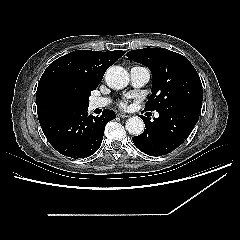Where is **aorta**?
<instances>
[{
  "mask_svg": "<svg viewBox=\"0 0 240 240\" xmlns=\"http://www.w3.org/2000/svg\"><path fill=\"white\" fill-rule=\"evenodd\" d=\"M105 81L112 89H123L129 83V74L121 66H111L105 73ZM127 131L135 136L143 133L145 125L141 118L134 116L126 121Z\"/></svg>",
  "mask_w": 240,
  "mask_h": 240,
  "instance_id": "obj_1",
  "label": "aorta"
}]
</instances>
